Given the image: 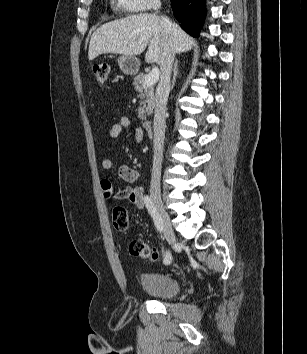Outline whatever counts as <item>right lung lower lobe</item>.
<instances>
[{
  "mask_svg": "<svg viewBox=\"0 0 307 354\" xmlns=\"http://www.w3.org/2000/svg\"><path fill=\"white\" fill-rule=\"evenodd\" d=\"M174 16L190 35L198 36L205 18V0H172Z\"/></svg>",
  "mask_w": 307,
  "mask_h": 354,
  "instance_id": "obj_1",
  "label": "right lung lower lobe"
}]
</instances>
